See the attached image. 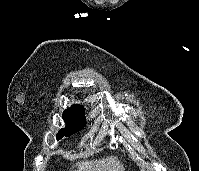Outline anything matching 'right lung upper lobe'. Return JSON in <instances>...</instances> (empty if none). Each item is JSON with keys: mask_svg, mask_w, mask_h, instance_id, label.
Segmentation results:
<instances>
[{"mask_svg": "<svg viewBox=\"0 0 199 171\" xmlns=\"http://www.w3.org/2000/svg\"><path fill=\"white\" fill-rule=\"evenodd\" d=\"M73 106H82V105H77V104H75V105H73Z\"/></svg>", "mask_w": 199, "mask_h": 171, "instance_id": "1", "label": "right lung upper lobe"}]
</instances>
